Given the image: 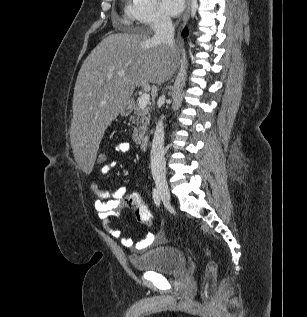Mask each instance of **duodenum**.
<instances>
[{
    "label": "duodenum",
    "instance_id": "duodenum-1",
    "mask_svg": "<svg viewBox=\"0 0 307 317\" xmlns=\"http://www.w3.org/2000/svg\"><path fill=\"white\" fill-rule=\"evenodd\" d=\"M148 142H149V140L147 137L144 136V137L140 138V146L142 148H144V149L147 148Z\"/></svg>",
    "mask_w": 307,
    "mask_h": 317
}]
</instances>
